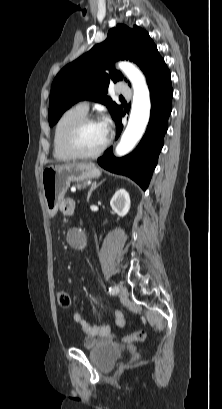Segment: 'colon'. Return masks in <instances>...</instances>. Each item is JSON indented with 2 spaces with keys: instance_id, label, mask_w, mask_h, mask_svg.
Here are the masks:
<instances>
[{
  "instance_id": "5ec220e1",
  "label": "colon",
  "mask_w": 222,
  "mask_h": 409,
  "mask_svg": "<svg viewBox=\"0 0 222 409\" xmlns=\"http://www.w3.org/2000/svg\"><path fill=\"white\" fill-rule=\"evenodd\" d=\"M57 301H58V304L62 308L70 307L71 299H70V295L66 291L62 290L57 293ZM145 339H146V332L143 330H139V331L133 332L130 335L126 336L124 338V341L128 343L143 342Z\"/></svg>"
}]
</instances>
